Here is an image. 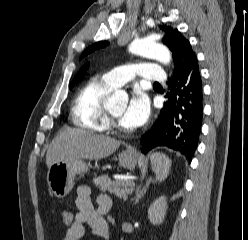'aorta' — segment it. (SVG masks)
<instances>
[{"instance_id": "obj_1", "label": "aorta", "mask_w": 248, "mask_h": 240, "mask_svg": "<svg viewBox=\"0 0 248 240\" xmlns=\"http://www.w3.org/2000/svg\"><path fill=\"white\" fill-rule=\"evenodd\" d=\"M129 51L136 55L156 59L163 64H168L171 61L170 51L162 44L155 42L152 38L133 41L129 46ZM125 97L126 93L119 90L108 98V102L114 104Z\"/></svg>"}]
</instances>
